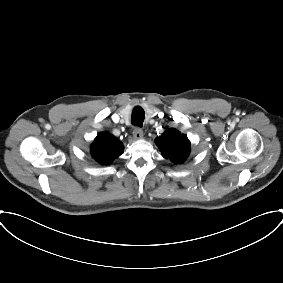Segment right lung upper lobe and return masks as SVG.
<instances>
[{
    "mask_svg": "<svg viewBox=\"0 0 283 283\" xmlns=\"http://www.w3.org/2000/svg\"><path fill=\"white\" fill-rule=\"evenodd\" d=\"M122 142L108 132L97 135L91 145L92 156L101 164H109L123 153Z\"/></svg>",
    "mask_w": 283,
    "mask_h": 283,
    "instance_id": "cb5924a9",
    "label": "right lung upper lobe"
}]
</instances>
